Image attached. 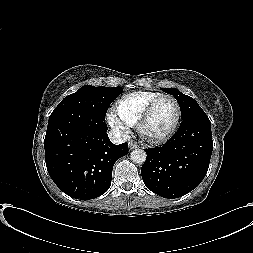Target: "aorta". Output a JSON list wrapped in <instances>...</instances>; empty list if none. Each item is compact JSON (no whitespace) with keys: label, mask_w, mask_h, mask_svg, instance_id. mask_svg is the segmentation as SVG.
Returning <instances> with one entry per match:
<instances>
[{"label":"aorta","mask_w":253,"mask_h":253,"mask_svg":"<svg viewBox=\"0 0 253 253\" xmlns=\"http://www.w3.org/2000/svg\"><path fill=\"white\" fill-rule=\"evenodd\" d=\"M130 158L134 163L142 164L146 161V152L142 149H135L131 152Z\"/></svg>","instance_id":"762f6f07"}]
</instances>
